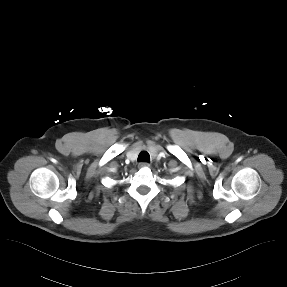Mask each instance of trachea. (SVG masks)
Wrapping results in <instances>:
<instances>
[{
	"label": "trachea",
	"instance_id": "trachea-1",
	"mask_svg": "<svg viewBox=\"0 0 287 287\" xmlns=\"http://www.w3.org/2000/svg\"><path fill=\"white\" fill-rule=\"evenodd\" d=\"M138 161L150 162V155L146 151H142L138 156Z\"/></svg>",
	"mask_w": 287,
	"mask_h": 287
}]
</instances>
